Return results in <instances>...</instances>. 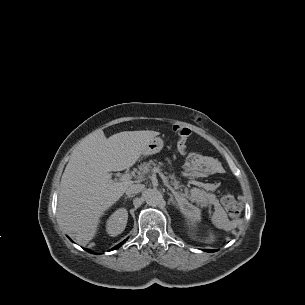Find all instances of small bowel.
Masks as SVG:
<instances>
[{
	"mask_svg": "<svg viewBox=\"0 0 305 305\" xmlns=\"http://www.w3.org/2000/svg\"><path fill=\"white\" fill-rule=\"evenodd\" d=\"M186 148L184 149H179L181 152H184ZM199 160L201 164L211 173H216L218 172V164L215 160L213 159H208V158H201L199 157Z\"/></svg>",
	"mask_w": 305,
	"mask_h": 305,
	"instance_id": "obj_1",
	"label": "small bowel"
}]
</instances>
